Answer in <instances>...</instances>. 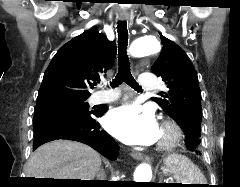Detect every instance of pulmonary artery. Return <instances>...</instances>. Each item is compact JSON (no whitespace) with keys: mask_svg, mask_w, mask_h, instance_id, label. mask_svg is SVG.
<instances>
[{"mask_svg":"<svg viewBox=\"0 0 240 187\" xmlns=\"http://www.w3.org/2000/svg\"><path fill=\"white\" fill-rule=\"evenodd\" d=\"M139 84L141 85V88L144 91H153L157 87V82L155 80V77L151 74L141 75L138 78ZM117 93H95L92 96V102L99 104V103H107L112 102L118 98Z\"/></svg>","mask_w":240,"mask_h":187,"instance_id":"pulmonary-artery-1","label":"pulmonary artery"}]
</instances>
